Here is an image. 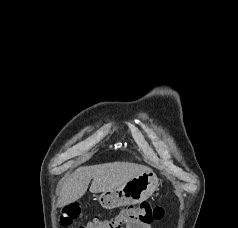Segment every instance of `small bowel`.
<instances>
[{
    "mask_svg": "<svg viewBox=\"0 0 238 228\" xmlns=\"http://www.w3.org/2000/svg\"><path fill=\"white\" fill-rule=\"evenodd\" d=\"M130 228H152L151 225H145V224H136Z\"/></svg>",
    "mask_w": 238,
    "mask_h": 228,
    "instance_id": "obj_1",
    "label": "small bowel"
}]
</instances>
